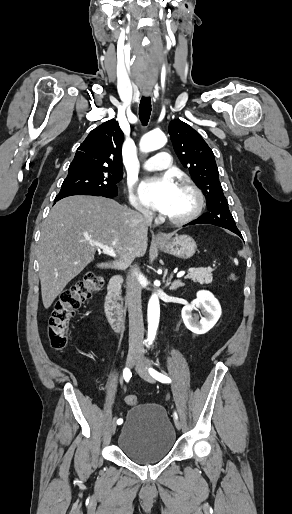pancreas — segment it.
I'll use <instances>...</instances> for the list:
<instances>
[{
    "mask_svg": "<svg viewBox=\"0 0 292 514\" xmlns=\"http://www.w3.org/2000/svg\"><path fill=\"white\" fill-rule=\"evenodd\" d=\"M188 272L189 274L185 278H190L199 284H211L213 280L212 268H189Z\"/></svg>",
    "mask_w": 292,
    "mask_h": 514,
    "instance_id": "1",
    "label": "pancreas"
}]
</instances>
